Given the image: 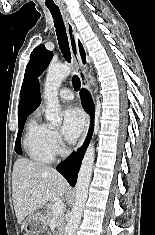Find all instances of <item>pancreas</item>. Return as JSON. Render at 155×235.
<instances>
[{"label": "pancreas", "mask_w": 155, "mask_h": 235, "mask_svg": "<svg viewBox=\"0 0 155 235\" xmlns=\"http://www.w3.org/2000/svg\"><path fill=\"white\" fill-rule=\"evenodd\" d=\"M53 206H54V203H51L48 205V210H47V215H46V224H51L52 219L55 218L56 226L58 230H61L64 224V217L62 214L55 216L53 214Z\"/></svg>", "instance_id": "cf45deb5"}]
</instances>
